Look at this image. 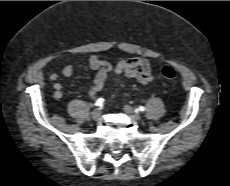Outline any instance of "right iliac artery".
<instances>
[{
    "label": "right iliac artery",
    "instance_id": "82829eb1",
    "mask_svg": "<svg viewBox=\"0 0 230 186\" xmlns=\"http://www.w3.org/2000/svg\"><path fill=\"white\" fill-rule=\"evenodd\" d=\"M104 104V99L103 98H99L97 99V101L95 102L96 106H102Z\"/></svg>",
    "mask_w": 230,
    "mask_h": 186
}]
</instances>
